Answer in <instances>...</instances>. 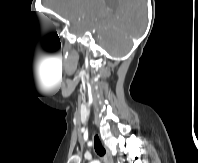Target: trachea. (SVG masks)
Listing matches in <instances>:
<instances>
[{
	"mask_svg": "<svg viewBox=\"0 0 198 163\" xmlns=\"http://www.w3.org/2000/svg\"><path fill=\"white\" fill-rule=\"evenodd\" d=\"M94 148H95L96 153L99 156H104L105 155V149L102 146L101 141H100V139L97 135L94 137Z\"/></svg>",
	"mask_w": 198,
	"mask_h": 163,
	"instance_id": "1",
	"label": "trachea"
}]
</instances>
